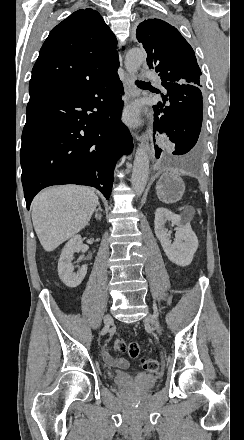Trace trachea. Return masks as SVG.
<instances>
[{"instance_id": "1", "label": "trachea", "mask_w": 244, "mask_h": 440, "mask_svg": "<svg viewBox=\"0 0 244 440\" xmlns=\"http://www.w3.org/2000/svg\"><path fill=\"white\" fill-rule=\"evenodd\" d=\"M136 83H137V85H140V84L145 83V82L137 81Z\"/></svg>"}]
</instances>
